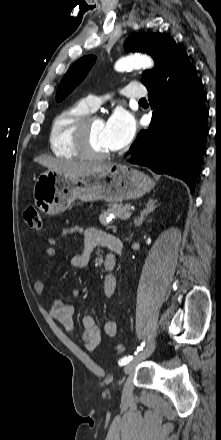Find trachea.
Returning <instances> with one entry per match:
<instances>
[{
	"label": "trachea",
	"instance_id": "1",
	"mask_svg": "<svg viewBox=\"0 0 221 440\" xmlns=\"http://www.w3.org/2000/svg\"><path fill=\"white\" fill-rule=\"evenodd\" d=\"M140 102H146V99H141Z\"/></svg>",
	"mask_w": 221,
	"mask_h": 440
}]
</instances>
